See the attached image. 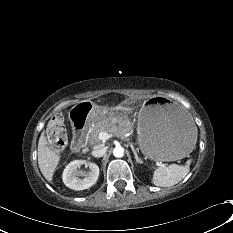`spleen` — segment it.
<instances>
[{"mask_svg":"<svg viewBox=\"0 0 233 233\" xmlns=\"http://www.w3.org/2000/svg\"><path fill=\"white\" fill-rule=\"evenodd\" d=\"M190 160L185 166L171 164L158 167L153 174L152 183L159 187H170L179 183L189 172Z\"/></svg>","mask_w":233,"mask_h":233,"instance_id":"obj_1","label":"spleen"}]
</instances>
